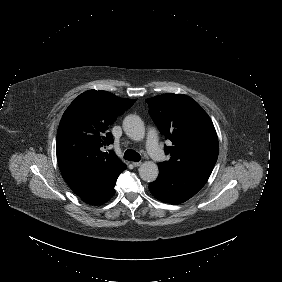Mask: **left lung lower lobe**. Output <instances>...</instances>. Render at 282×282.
Segmentation results:
<instances>
[{
	"instance_id": "obj_1",
	"label": "left lung lower lobe",
	"mask_w": 282,
	"mask_h": 282,
	"mask_svg": "<svg viewBox=\"0 0 282 282\" xmlns=\"http://www.w3.org/2000/svg\"><path fill=\"white\" fill-rule=\"evenodd\" d=\"M211 170L159 168L158 178L149 184L151 194L169 204H180L194 196L207 182Z\"/></svg>"
}]
</instances>
